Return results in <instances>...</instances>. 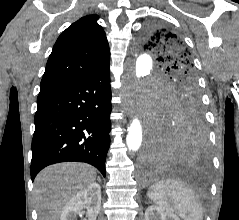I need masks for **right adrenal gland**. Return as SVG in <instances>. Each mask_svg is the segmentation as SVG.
<instances>
[{"instance_id": "right-adrenal-gland-1", "label": "right adrenal gland", "mask_w": 239, "mask_h": 220, "mask_svg": "<svg viewBox=\"0 0 239 220\" xmlns=\"http://www.w3.org/2000/svg\"><path fill=\"white\" fill-rule=\"evenodd\" d=\"M97 180H98V182H101V180L99 178Z\"/></svg>"}]
</instances>
